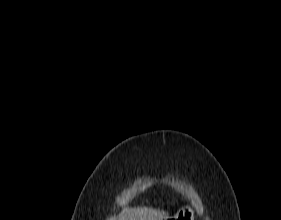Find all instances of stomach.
<instances>
[{"label": "stomach", "mask_w": 281, "mask_h": 220, "mask_svg": "<svg viewBox=\"0 0 281 220\" xmlns=\"http://www.w3.org/2000/svg\"><path fill=\"white\" fill-rule=\"evenodd\" d=\"M194 220V213L189 206H184L178 210L174 217H168L165 220Z\"/></svg>", "instance_id": "obj_1"}]
</instances>
